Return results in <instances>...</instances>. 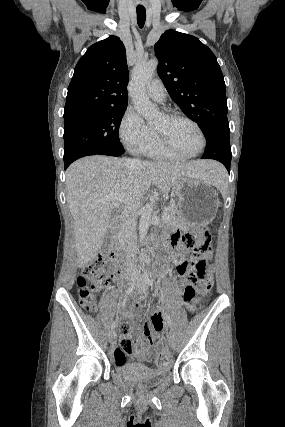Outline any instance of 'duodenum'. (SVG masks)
Returning <instances> with one entry per match:
<instances>
[{
  "label": "duodenum",
  "mask_w": 285,
  "mask_h": 427,
  "mask_svg": "<svg viewBox=\"0 0 285 427\" xmlns=\"http://www.w3.org/2000/svg\"><path fill=\"white\" fill-rule=\"evenodd\" d=\"M125 226H126V222L123 218H117L113 222L114 239H113L112 247L108 252V256L115 260L119 259L121 255V246H120L121 232L125 229ZM168 252H171V248L168 245L167 241H165L158 247V253L160 255H164Z\"/></svg>",
  "instance_id": "obj_1"
}]
</instances>
